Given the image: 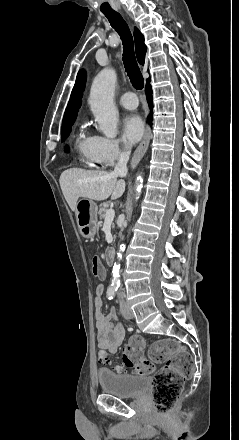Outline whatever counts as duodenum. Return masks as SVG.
Wrapping results in <instances>:
<instances>
[{"instance_id": "duodenum-1", "label": "duodenum", "mask_w": 239, "mask_h": 440, "mask_svg": "<svg viewBox=\"0 0 239 440\" xmlns=\"http://www.w3.org/2000/svg\"><path fill=\"white\" fill-rule=\"evenodd\" d=\"M115 251L113 248H108L105 252V258L108 264H112L114 261Z\"/></svg>"}]
</instances>
